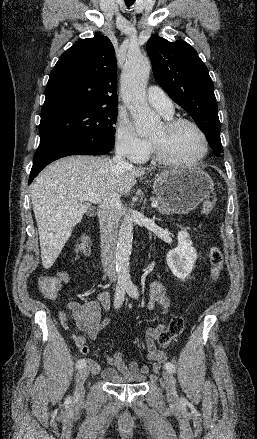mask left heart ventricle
Listing matches in <instances>:
<instances>
[{"label": "left heart ventricle", "mask_w": 257, "mask_h": 439, "mask_svg": "<svg viewBox=\"0 0 257 439\" xmlns=\"http://www.w3.org/2000/svg\"><path fill=\"white\" fill-rule=\"evenodd\" d=\"M151 137L159 140L169 156L179 161L194 160L203 150L201 137L187 125L168 131L162 124Z\"/></svg>", "instance_id": "b2bd125f"}]
</instances>
